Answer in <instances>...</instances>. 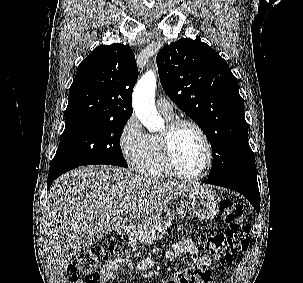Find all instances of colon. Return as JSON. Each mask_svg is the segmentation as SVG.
Returning a JSON list of instances; mask_svg holds the SVG:
<instances>
[{"mask_svg":"<svg viewBox=\"0 0 303 283\" xmlns=\"http://www.w3.org/2000/svg\"><path fill=\"white\" fill-rule=\"evenodd\" d=\"M220 212L223 222L227 225L226 229L201 235L199 244L215 261L226 264L230 263L240 251L247 248L250 224L246 221V210L230 200H223L220 203ZM125 253H128L127 249L113 243L96 245L82 251L69 263L68 279L71 283H98L99 268L106 261ZM203 274L204 270L200 268L185 269L167 283H200Z\"/></svg>","mask_w":303,"mask_h":283,"instance_id":"5ec220e1","label":"colon"}]
</instances>
